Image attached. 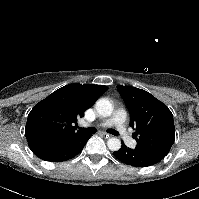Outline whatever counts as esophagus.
<instances>
[{
  "label": "esophagus",
  "instance_id": "34e87169",
  "mask_svg": "<svg viewBox=\"0 0 199 199\" xmlns=\"http://www.w3.org/2000/svg\"><path fill=\"white\" fill-rule=\"evenodd\" d=\"M102 135H104V137H106V138H109L111 136V135H109V134H107L105 132H103Z\"/></svg>",
  "mask_w": 199,
  "mask_h": 199
}]
</instances>
